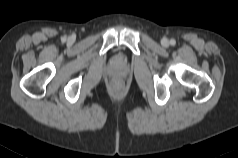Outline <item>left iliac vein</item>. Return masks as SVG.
Masks as SVG:
<instances>
[{"mask_svg": "<svg viewBox=\"0 0 238 158\" xmlns=\"http://www.w3.org/2000/svg\"><path fill=\"white\" fill-rule=\"evenodd\" d=\"M161 43H162L163 46H168L169 45V41L166 38L162 39Z\"/></svg>", "mask_w": 238, "mask_h": 158, "instance_id": "left-iliac-vein-1", "label": "left iliac vein"}]
</instances>
